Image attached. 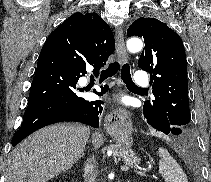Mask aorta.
Wrapping results in <instances>:
<instances>
[{
  "label": "aorta",
  "instance_id": "aorta-1",
  "mask_svg": "<svg viewBox=\"0 0 211 182\" xmlns=\"http://www.w3.org/2000/svg\"><path fill=\"white\" fill-rule=\"evenodd\" d=\"M127 49L131 53H137L142 50L143 42L139 38H130L126 43Z\"/></svg>",
  "mask_w": 211,
  "mask_h": 182
}]
</instances>
